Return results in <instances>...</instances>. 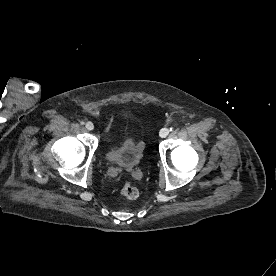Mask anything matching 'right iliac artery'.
Segmentation results:
<instances>
[{
  "label": "right iliac artery",
  "mask_w": 276,
  "mask_h": 276,
  "mask_svg": "<svg viewBox=\"0 0 276 276\" xmlns=\"http://www.w3.org/2000/svg\"><path fill=\"white\" fill-rule=\"evenodd\" d=\"M84 123H85L84 120H81V121H80V124H81V125H84Z\"/></svg>",
  "instance_id": "right-iliac-artery-1"
}]
</instances>
